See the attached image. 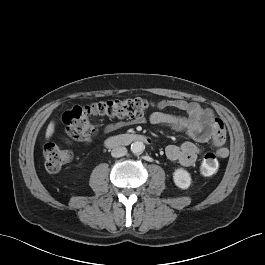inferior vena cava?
I'll return each mask as SVG.
<instances>
[{"label":"inferior vena cava","mask_w":265,"mask_h":265,"mask_svg":"<svg viewBox=\"0 0 265 265\" xmlns=\"http://www.w3.org/2000/svg\"><path fill=\"white\" fill-rule=\"evenodd\" d=\"M127 154V148L123 146H117L112 149L111 155L112 157L119 158Z\"/></svg>","instance_id":"inferior-vena-cava-1"}]
</instances>
